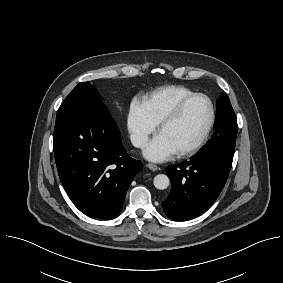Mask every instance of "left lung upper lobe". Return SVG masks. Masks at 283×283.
Here are the masks:
<instances>
[{
  "instance_id": "1",
  "label": "left lung upper lobe",
  "mask_w": 283,
  "mask_h": 283,
  "mask_svg": "<svg viewBox=\"0 0 283 283\" xmlns=\"http://www.w3.org/2000/svg\"><path fill=\"white\" fill-rule=\"evenodd\" d=\"M237 119L226 94H221L217 100V114L214 133L210 141L203 148H221L234 153L237 135Z\"/></svg>"
}]
</instances>
